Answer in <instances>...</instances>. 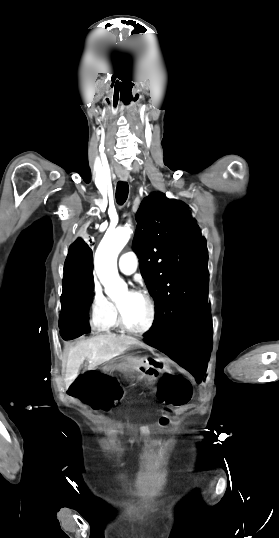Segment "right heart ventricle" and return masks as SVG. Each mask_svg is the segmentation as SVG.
<instances>
[{
  "label": "right heart ventricle",
  "instance_id": "1",
  "mask_svg": "<svg viewBox=\"0 0 279 538\" xmlns=\"http://www.w3.org/2000/svg\"><path fill=\"white\" fill-rule=\"evenodd\" d=\"M106 226H99V230H104ZM134 223L130 220L124 226L118 228H111L108 233L118 234L123 238H127L128 235L133 231ZM111 304V312L106 321V324L103 329L116 328L119 326L118 314H117V301L115 299H109Z\"/></svg>",
  "mask_w": 279,
  "mask_h": 538
}]
</instances>
